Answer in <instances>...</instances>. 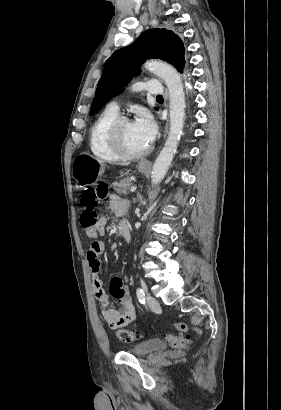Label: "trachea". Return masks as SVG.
Segmentation results:
<instances>
[{
  "mask_svg": "<svg viewBox=\"0 0 281 410\" xmlns=\"http://www.w3.org/2000/svg\"><path fill=\"white\" fill-rule=\"evenodd\" d=\"M157 98H162V95H157Z\"/></svg>",
  "mask_w": 281,
  "mask_h": 410,
  "instance_id": "3493384b",
  "label": "trachea"
}]
</instances>
